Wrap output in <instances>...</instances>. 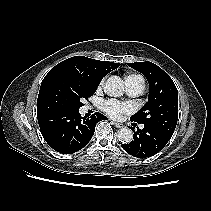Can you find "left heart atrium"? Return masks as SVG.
<instances>
[{
  "instance_id": "left-heart-atrium-1",
  "label": "left heart atrium",
  "mask_w": 211,
  "mask_h": 211,
  "mask_svg": "<svg viewBox=\"0 0 211 211\" xmlns=\"http://www.w3.org/2000/svg\"><path fill=\"white\" fill-rule=\"evenodd\" d=\"M102 109L110 117L120 118L123 114L132 112L133 106L129 102L108 99L102 102Z\"/></svg>"
}]
</instances>
